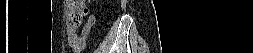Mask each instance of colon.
Instances as JSON below:
<instances>
[{"label": "colon", "mask_w": 253, "mask_h": 53, "mask_svg": "<svg viewBox=\"0 0 253 53\" xmlns=\"http://www.w3.org/2000/svg\"><path fill=\"white\" fill-rule=\"evenodd\" d=\"M84 2L75 0L67 1V25L77 27L82 23L84 17L88 15L89 10L83 5Z\"/></svg>", "instance_id": "1"}]
</instances>
